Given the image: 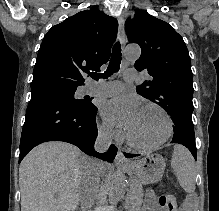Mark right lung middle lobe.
<instances>
[{"label": "right lung middle lobe", "mask_w": 219, "mask_h": 211, "mask_svg": "<svg viewBox=\"0 0 219 211\" xmlns=\"http://www.w3.org/2000/svg\"><path fill=\"white\" fill-rule=\"evenodd\" d=\"M46 88H56L61 93H64V95L73 103L76 105H90L89 100L84 99H76L74 98V93L76 91V87L71 86H64V85H50L46 86Z\"/></svg>", "instance_id": "right-lung-middle-lobe-1"}]
</instances>
